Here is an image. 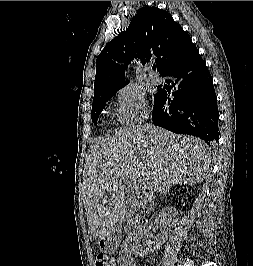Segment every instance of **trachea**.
<instances>
[{"mask_svg": "<svg viewBox=\"0 0 253 266\" xmlns=\"http://www.w3.org/2000/svg\"><path fill=\"white\" fill-rule=\"evenodd\" d=\"M156 69V66H153V70H155Z\"/></svg>", "mask_w": 253, "mask_h": 266, "instance_id": "trachea-1", "label": "trachea"}]
</instances>
